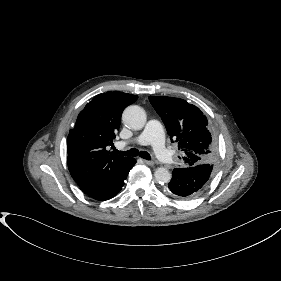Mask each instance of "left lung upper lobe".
Listing matches in <instances>:
<instances>
[{
  "label": "left lung upper lobe",
  "instance_id": "obj_1",
  "mask_svg": "<svg viewBox=\"0 0 281 281\" xmlns=\"http://www.w3.org/2000/svg\"><path fill=\"white\" fill-rule=\"evenodd\" d=\"M149 100L165 123L172 142L182 151V167L214 165L215 147L207 118L200 109L179 98L150 96Z\"/></svg>",
  "mask_w": 281,
  "mask_h": 281
}]
</instances>
